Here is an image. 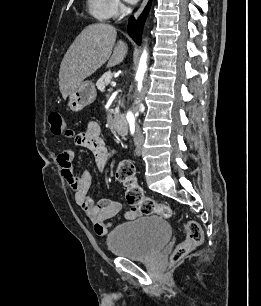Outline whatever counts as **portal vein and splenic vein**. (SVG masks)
<instances>
[{
  "mask_svg": "<svg viewBox=\"0 0 261 306\" xmlns=\"http://www.w3.org/2000/svg\"><path fill=\"white\" fill-rule=\"evenodd\" d=\"M111 85L112 86H116V82H111Z\"/></svg>",
  "mask_w": 261,
  "mask_h": 306,
  "instance_id": "obj_1",
  "label": "portal vein and splenic vein"
}]
</instances>
